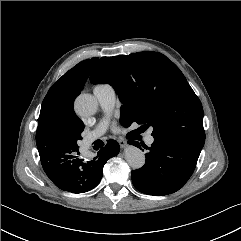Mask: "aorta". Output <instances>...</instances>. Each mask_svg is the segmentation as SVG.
<instances>
[{
    "label": "aorta",
    "instance_id": "762f6f07",
    "mask_svg": "<svg viewBox=\"0 0 241 241\" xmlns=\"http://www.w3.org/2000/svg\"><path fill=\"white\" fill-rule=\"evenodd\" d=\"M74 108L80 116H91L95 114L98 109V101L94 96L83 93L75 99ZM125 159L133 169H140L145 164L143 151L135 146H128L125 149Z\"/></svg>",
    "mask_w": 241,
    "mask_h": 241
}]
</instances>
